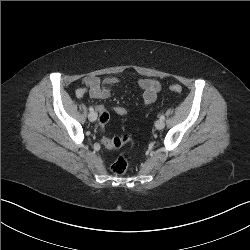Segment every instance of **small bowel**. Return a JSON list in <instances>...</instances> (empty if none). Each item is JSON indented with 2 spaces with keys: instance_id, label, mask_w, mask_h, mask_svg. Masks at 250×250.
I'll return each mask as SVG.
<instances>
[{
  "instance_id": "small-bowel-1",
  "label": "small bowel",
  "mask_w": 250,
  "mask_h": 250,
  "mask_svg": "<svg viewBox=\"0 0 250 250\" xmlns=\"http://www.w3.org/2000/svg\"><path fill=\"white\" fill-rule=\"evenodd\" d=\"M121 81V78L116 76L107 77L105 79L96 76H87L84 79L85 85L76 89V96L83 97L89 93L92 98L103 100L110 96L112 87L119 84ZM137 83L143 91L142 97L144 105L152 104L161 90L160 82L155 79H140ZM97 109L100 112L104 107L99 106Z\"/></svg>"
}]
</instances>
